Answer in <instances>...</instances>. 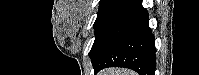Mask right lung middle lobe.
Masks as SVG:
<instances>
[{"label":"right lung middle lobe","instance_id":"obj_1","mask_svg":"<svg viewBox=\"0 0 199 75\" xmlns=\"http://www.w3.org/2000/svg\"><path fill=\"white\" fill-rule=\"evenodd\" d=\"M127 2V0H116L111 3L101 4L99 6L98 15L94 23L95 41L90 50V57L92 56L96 48L100 45L101 40L104 37L110 24L123 10Z\"/></svg>","mask_w":199,"mask_h":75}]
</instances>
